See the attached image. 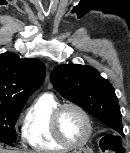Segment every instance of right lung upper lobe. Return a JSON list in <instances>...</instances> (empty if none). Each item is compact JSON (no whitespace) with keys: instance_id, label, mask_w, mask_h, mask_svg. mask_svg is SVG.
Listing matches in <instances>:
<instances>
[{"instance_id":"obj_1","label":"right lung upper lobe","mask_w":130,"mask_h":153,"mask_svg":"<svg viewBox=\"0 0 130 153\" xmlns=\"http://www.w3.org/2000/svg\"><path fill=\"white\" fill-rule=\"evenodd\" d=\"M44 64L34 58L20 59L6 52L0 55V103L25 104L43 83Z\"/></svg>"}]
</instances>
